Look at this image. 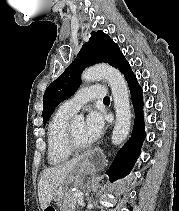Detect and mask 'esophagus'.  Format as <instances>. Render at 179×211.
Listing matches in <instances>:
<instances>
[{
	"instance_id": "34e87169",
	"label": "esophagus",
	"mask_w": 179,
	"mask_h": 211,
	"mask_svg": "<svg viewBox=\"0 0 179 211\" xmlns=\"http://www.w3.org/2000/svg\"><path fill=\"white\" fill-rule=\"evenodd\" d=\"M88 159L92 163L93 171H100V167L105 164V154H101V151H90L88 154Z\"/></svg>"
}]
</instances>
